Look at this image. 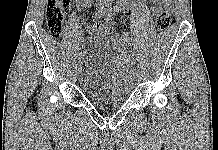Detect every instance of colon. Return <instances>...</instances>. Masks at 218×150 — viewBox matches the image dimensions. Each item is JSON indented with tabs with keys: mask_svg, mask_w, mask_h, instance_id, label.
I'll use <instances>...</instances> for the list:
<instances>
[{
	"mask_svg": "<svg viewBox=\"0 0 218 150\" xmlns=\"http://www.w3.org/2000/svg\"><path fill=\"white\" fill-rule=\"evenodd\" d=\"M70 0H48L46 4V17L49 32L58 37L62 32L64 18L69 10ZM171 21V12L163 7L156 14L155 25L158 30L167 28ZM96 29L103 33H113V25L108 22H97Z\"/></svg>",
	"mask_w": 218,
	"mask_h": 150,
	"instance_id": "obj_1",
	"label": "colon"
}]
</instances>
